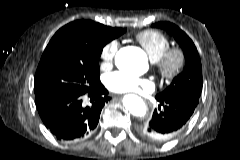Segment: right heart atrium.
<instances>
[{"instance_id":"right-heart-atrium-1","label":"right heart atrium","mask_w":240,"mask_h":160,"mask_svg":"<svg viewBox=\"0 0 240 160\" xmlns=\"http://www.w3.org/2000/svg\"><path fill=\"white\" fill-rule=\"evenodd\" d=\"M119 44L116 40H112L105 44L100 53L101 65L103 67H109L112 65L115 55L117 53Z\"/></svg>"}]
</instances>
